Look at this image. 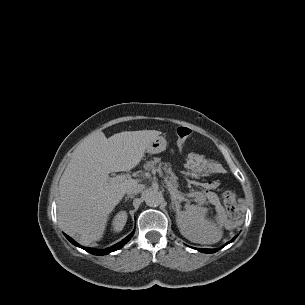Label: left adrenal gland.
Masks as SVG:
<instances>
[{
  "instance_id": "a2214340",
  "label": "left adrenal gland",
  "mask_w": 305,
  "mask_h": 305,
  "mask_svg": "<svg viewBox=\"0 0 305 305\" xmlns=\"http://www.w3.org/2000/svg\"><path fill=\"white\" fill-rule=\"evenodd\" d=\"M171 204L174 211H178V203L175 202L174 198L171 196Z\"/></svg>"
}]
</instances>
